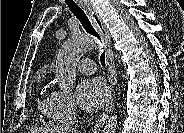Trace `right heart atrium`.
Here are the masks:
<instances>
[{"label":"right heart atrium","instance_id":"1","mask_svg":"<svg viewBox=\"0 0 184 133\" xmlns=\"http://www.w3.org/2000/svg\"><path fill=\"white\" fill-rule=\"evenodd\" d=\"M55 107L62 122L75 119L77 109L70 94L64 91L55 92Z\"/></svg>","mask_w":184,"mask_h":133}]
</instances>
